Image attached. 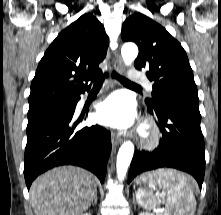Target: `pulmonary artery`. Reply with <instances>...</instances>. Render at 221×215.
<instances>
[{
    "label": "pulmonary artery",
    "instance_id": "e3ab8cb5",
    "mask_svg": "<svg viewBox=\"0 0 221 215\" xmlns=\"http://www.w3.org/2000/svg\"><path fill=\"white\" fill-rule=\"evenodd\" d=\"M130 77L134 83L143 84L148 88L149 91L152 90V85L149 82V80L144 75L140 74L139 72L132 71L130 73Z\"/></svg>",
    "mask_w": 221,
    "mask_h": 215
}]
</instances>
